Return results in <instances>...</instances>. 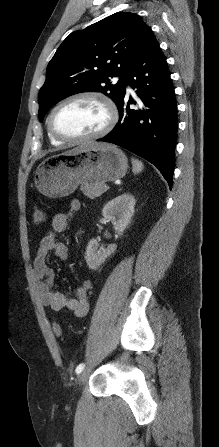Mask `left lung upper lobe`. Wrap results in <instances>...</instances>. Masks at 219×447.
<instances>
[{"mask_svg": "<svg viewBox=\"0 0 219 447\" xmlns=\"http://www.w3.org/2000/svg\"><path fill=\"white\" fill-rule=\"evenodd\" d=\"M151 35L140 16L129 12L71 33L47 66L38 98L40 121L53 105L80 92H102L118 106L129 67ZM113 77H120L117 83L110 81Z\"/></svg>", "mask_w": 219, "mask_h": 447, "instance_id": "obj_1", "label": "left lung upper lobe"}]
</instances>
